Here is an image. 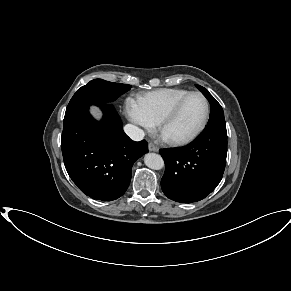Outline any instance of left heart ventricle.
Returning <instances> with one entry per match:
<instances>
[{
    "instance_id": "left-heart-ventricle-1",
    "label": "left heart ventricle",
    "mask_w": 291,
    "mask_h": 291,
    "mask_svg": "<svg viewBox=\"0 0 291 291\" xmlns=\"http://www.w3.org/2000/svg\"><path fill=\"white\" fill-rule=\"evenodd\" d=\"M204 112L205 104L201 97L189 98L178 116L165 128L163 135L168 138H179L190 134L200 124Z\"/></svg>"
}]
</instances>
